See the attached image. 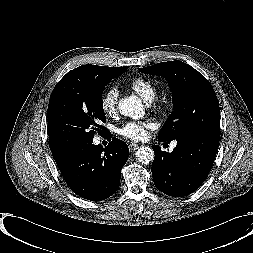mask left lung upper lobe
Wrapping results in <instances>:
<instances>
[{
  "label": "left lung upper lobe",
  "instance_id": "obj_1",
  "mask_svg": "<svg viewBox=\"0 0 253 253\" xmlns=\"http://www.w3.org/2000/svg\"><path fill=\"white\" fill-rule=\"evenodd\" d=\"M145 74L160 75L169 84L173 112L158 138L172 141L193 131H220V108L210 82L197 70L181 61H169L139 68Z\"/></svg>",
  "mask_w": 253,
  "mask_h": 253
}]
</instances>
